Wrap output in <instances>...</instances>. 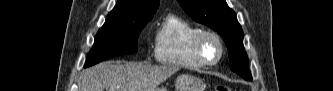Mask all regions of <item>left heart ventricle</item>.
<instances>
[{
	"mask_svg": "<svg viewBox=\"0 0 333 91\" xmlns=\"http://www.w3.org/2000/svg\"><path fill=\"white\" fill-rule=\"evenodd\" d=\"M203 53L206 59L214 61L219 53V47L213 38H206L203 42Z\"/></svg>",
	"mask_w": 333,
	"mask_h": 91,
	"instance_id": "obj_1",
	"label": "left heart ventricle"
}]
</instances>
